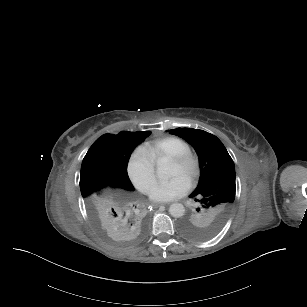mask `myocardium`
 <instances>
[{
  "mask_svg": "<svg viewBox=\"0 0 307 307\" xmlns=\"http://www.w3.org/2000/svg\"><path fill=\"white\" fill-rule=\"evenodd\" d=\"M168 158L171 162L179 166H184L190 159L195 160V168L185 178L190 183L195 182L203 174L205 166L204 156L202 151L194 146H190L189 148L171 155Z\"/></svg>",
  "mask_w": 307,
  "mask_h": 307,
  "instance_id": "f54148a6",
  "label": "myocardium"
}]
</instances>
